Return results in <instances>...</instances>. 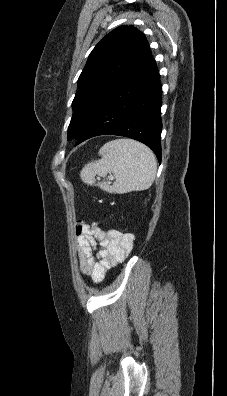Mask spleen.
Listing matches in <instances>:
<instances>
[{
  "instance_id": "obj_1",
  "label": "spleen",
  "mask_w": 227,
  "mask_h": 396,
  "mask_svg": "<svg viewBox=\"0 0 227 396\" xmlns=\"http://www.w3.org/2000/svg\"><path fill=\"white\" fill-rule=\"evenodd\" d=\"M101 159L84 166L81 180L102 190L124 194L150 188L155 180L157 162L153 152L144 144L131 139H116L107 142L100 150ZM114 177L115 182L97 183L95 176Z\"/></svg>"
}]
</instances>
